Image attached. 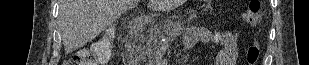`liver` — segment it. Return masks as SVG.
I'll use <instances>...</instances> for the list:
<instances>
[{"mask_svg":"<svg viewBox=\"0 0 309 65\" xmlns=\"http://www.w3.org/2000/svg\"><path fill=\"white\" fill-rule=\"evenodd\" d=\"M183 0H149L153 11L172 10ZM139 0H60L59 30L64 49L73 52L92 41Z\"/></svg>","mask_w":309,"mask_h":65,"instance_id":"liver-1","label":"liver"}]
</instances>
